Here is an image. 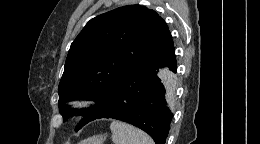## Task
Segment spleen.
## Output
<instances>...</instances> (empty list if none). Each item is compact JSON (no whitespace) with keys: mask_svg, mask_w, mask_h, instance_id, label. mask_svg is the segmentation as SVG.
Instances as JSON below:
<instances>
[{"mask_svg":"<svg viewBox=\"0 0 260 144\" xmlns=\"http://www.w3.org/2000/svg\"><path fill=\"white\" fill-rule=\"evenodd\" d=\"M110 129L114 144H154L149 135L127 123L113 120Z\"/></svg>","mask_w":260,"mask_h":144,"instance_id":"3e777b00","label":"spleen"}]
</instances>
